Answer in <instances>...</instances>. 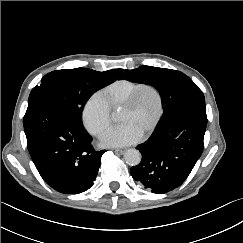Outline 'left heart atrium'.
I'll list each match as a JSON object with an SVG mask.
<instances>
[{
	"instance_id": "39dd6f15",
	"label": "left heart atrium",
	"mask_w": 243,
	"mask_h": 243,
	"mask_svg": "<svg viewBox=\"0 0 243 243\" xmlns=\"http://www.w3.org/2000/svg\"><path fill=\"white\" fill-rule=\"evenodd\" d=\"M142 136L133 125L122 123L109 130L101 139V144L107 147H123L138 142Z\"/></svg>"
}]
</instances>
